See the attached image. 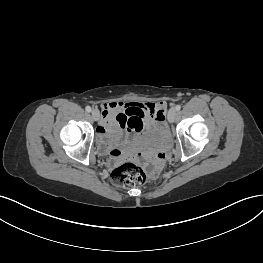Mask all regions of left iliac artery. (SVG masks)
I'll use <instances>...</instances> for the list:
<instances>
[{"instance_id":"obj_1","label":"left iliac artery","mask_w":263,"mask_h":263,"mask_svg":"<svg viewBox=\"0 0 263 263\" xmlns=\"http://www.w3.org/2000/svg\"><path fill=\"white\" fill-rule=\"evenodd\" d=\"M175 109H176V111H179L181 109V106L180 105H176Z\"/></svg>"}]
</instances>
